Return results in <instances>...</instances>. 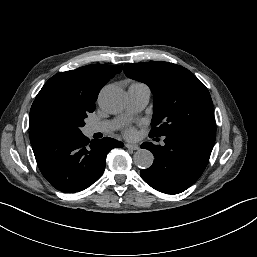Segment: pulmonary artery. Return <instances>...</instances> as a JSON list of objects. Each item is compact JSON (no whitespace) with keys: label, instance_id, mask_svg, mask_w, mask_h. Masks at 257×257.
Returning a JSON list of instances; mask_svg holds the SVG:
<instances>
[{"label":"pulmonary artery","instance_id":"pulmonary-artery-1","mask_svg":"<svg viewBox=\"0 0 257 257\" xmlns=\"http://www.w3.org/2000/svg\"><path fill=\"white\" fill-rule=\"evenodd\" d=\"M128 112L136 113L145 108L150 99V89L140 83H134L129 86L128 91ZM123 121V117H119L112 121H104L97 123H90L87 126L88 134L97 132H109L117 128Z\"/></svg>","mask_w":257,"mask_h":257}]
</instances>
